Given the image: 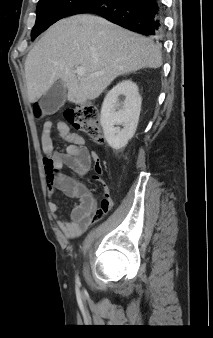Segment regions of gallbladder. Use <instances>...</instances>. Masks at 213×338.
Returning a JSON list of instances; mask_svg holds the SVG:
<instances>
[{
  "instance_id": "bac80fb5",
  "label": "gallbladder",
  "mask_w": 213,
  "mask_h": 338,
  "mask_svg": "<svg viewBox=\"0 0 213 338\" xmlns=\"http://www.w3.org/2000/svg\"><path fill=\"white\" fill-rule=\"evenodd\" d=\"M66 96L67 89L64 83L61 80H57L39 101L43 115L57 112L64 105Z\"/></svg>"
}]
</instances>
